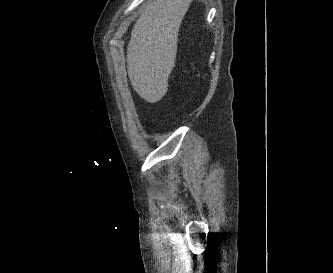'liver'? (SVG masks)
<instances>
[{
    "mask_svg": "<svg viewBox=\"0 0 333 273\" xmlns=\"http://www.w3.org/2000/svg\"><path fill=\"white\" fill-rule=\"evenodd\" d=\"M190 0H153L134 24L127 47L128 76L145 101H160L175 65L178 32Z\"/></svg>",
    "mask_w": 333,
    "mask_h": 273,
    "instance_id": "obj_1",
    "label": "liver"
}]
</instances>
